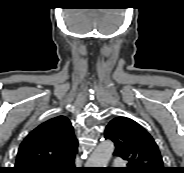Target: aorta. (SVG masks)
I'll use <instances>...</instances> for the list:
<instances>
[{
	"instance_id": "1",
	"label": "aorta",
	"mask_w": 184,
	"mask_h": 173,
	"mask_svg": "<svg viewBox=\"0 0 184 173\" xmlns=\"http://www.w3.org/2000/svg\"><path fill=\"white\" fill-rule=\"evenodd\" d=\"M114 148V143L111 140L102 141L89 157L88 167H107Z\"/></svg>"
}]
</instances>
